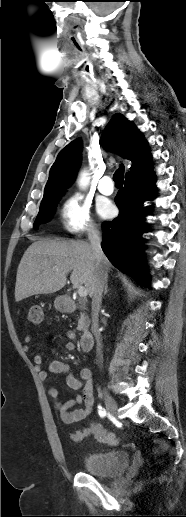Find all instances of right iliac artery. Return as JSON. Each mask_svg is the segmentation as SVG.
I'll return each mask as SVG.
<instances>
[{"mask_svg": "<svg viewBox=\"0 0 186 517\" xmlns=\"http://www.w3.org/2000/svg\"><path fill=\"white\" fill-rule=\"evenodd\" d=\"M98 414L100 415V417L104 418L106 416V411L104 408H102L101 406L98 407Z\"/></svg>", "mask_w": 186, "mask_h": 517, "instance_id": "82829eb1", "label": "right iliac artery"}]
</instances>
